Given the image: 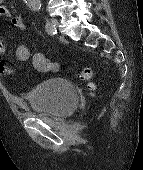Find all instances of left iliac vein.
I'll list each match as a JSON object with an SVG mask.
<instances>
[{"instance_id": "left-iliac-vein-1", "label": "left iliac vein", "mask_w": 143, "mask_h": 170, "mask_svg": "<svg viewBox=\"0 0 143 170\" xmlns=\"http://www.w3.org/2000/svg\"><path fill=\"white\" fill-rule=\"evenodd\" d=\"M49 23L56 27L59 24V21L57 19H52Z\"/></svg>"}]
</instances>
